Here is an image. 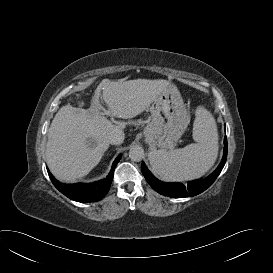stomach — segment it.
I'll return each mask as SVG.
<instances>
[{
    "instance_id": "stomach-1",
    "label": "stomach",
    "mask_w": 273,
    "mask_h": 273,
    "mask_svg": "<svg viewBox=\"0 0 273 273\" xmlns=\"http://www.w3.org/2000/svg\"><path fill=\"white\" fill-rule=\"evenodd\" d=\"M151 121L144 130L145 137L161 149H172L176 146L185 129L189 117L180 92L169 84L155 98L151 107Z\"/></svg>"
}]
</instances>
